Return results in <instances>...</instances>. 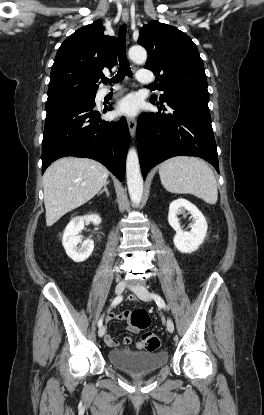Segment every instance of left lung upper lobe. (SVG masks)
I'll use <instances>...</instances> for the list:
<instances>
[{
  "label": "left lung upper lobe",
  "mask_w": 264,
  "mask_h": 415,
  "mask_svg": "<svg viewBox=\"0 0 264 415\" xmlns=\"http://www.w3.org/2000/svg\"><path fill=\"white\" fill-rule=\"evenodd\" d=\"M138 43L148 52L144 68L153 71L164 91L159 101L174 95H209L203 61L194 42L177 28L152 21L142 27ZM151 97L150 101H156Z\"/></svg>",
  "instance_id": "obj_1"
}]
</instances>
